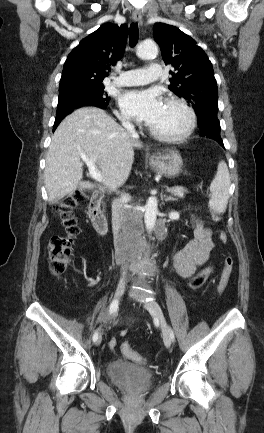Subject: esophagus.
<instances>
[{
	"instance_id": "1",
	"label": "esophagus",
	"mask_w": 264,
	"mask_h": 433,
	"mask_svg": "<svg viewBox=\"0 0 264 433\" xmlns=\"http://www.w3.org/2000/svg\"><path fill=\"white\" fill-rule=\"evenodd\" d=\"M132 18L135 22H138L140 25H142V13L139 10H135L132 14Z\"/></svg>"
}]
</instances>
